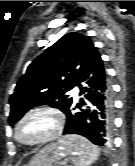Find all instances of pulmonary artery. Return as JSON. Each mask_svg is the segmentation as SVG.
I'll return each instance as SVG.
<instances>
[{
	"label": "pulmonary artery",
	"mask_w": 135,
	"mask_h": 166,
	"mask_svg": "<svg viewBox=\"0 0 135 166\" xmlns=\"http://www.w3.org/2000/svg\"><path fill=\"white\" fill-rule=\"evenodd\" d=\"M79 88L78 87H74L73 90H72V93L75 95V97H78L79 95Z\"/></svg>",
	"instance_id": "obj_1"
}]
</instances>
